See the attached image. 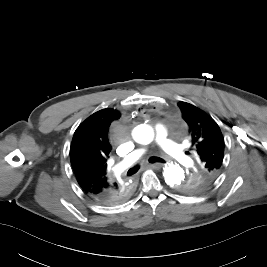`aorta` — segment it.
<instances>
[{"label":"aorta","mask_w":267,"mask_h":267,"mask_svg":"<svg viewBox=\"0 0 267 267\" xmlns=\"http://www.w3.org/2000/svg\"><path fill=\"white\" fill-rule=\"evenodd\" d=\"M132 135L136 142L147 145L153 141L154 131L149 125L140 124L133 129ZM163 176L170 187H179L185 177L183 169L173 163L163 168Z\"/></svg>","instance_id":"aorta-1"}]
</instances>
